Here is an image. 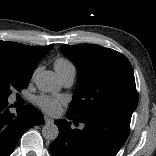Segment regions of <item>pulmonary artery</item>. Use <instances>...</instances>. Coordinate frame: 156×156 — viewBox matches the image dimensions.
<instances>
[{
  "instance_id": "pulmonary-artery-1",
  "label": "pulmonary artery",
  "mask_w": 156,
  "mask_h": 156,
  "mask_svg": "<svg viewBox=\"0 0 156 156\" xmlns=\"http://www.w3.org/2000/svg\"><path fill=\"white\" fill-rule=\"evenodd\" d=\"M76 71L74 68L67 70L61 75V81L65 87H70L75 79Z\"/></svg>"
}]
</instances>
